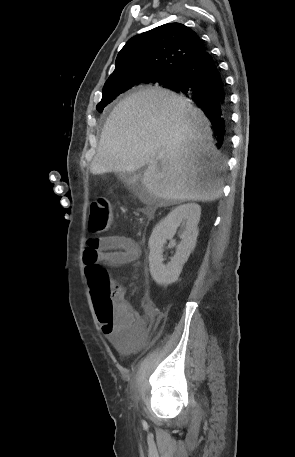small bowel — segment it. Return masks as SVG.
<instances>
[{
	"label": "small bowel",
	"instance_id": "1",
	"mask_svg": "<svg viewBox=\"0 0 295 457\" xmlns=\"http://www.w3.org/2000/svg\"><path fill=\"white\" fill-rule=\"evenodd\" d=\"M139 255L140 248L130 237L121 235L91 237L86 241L84 263L87 265L90 262H101L115 268L135 261ZM117 296L120 299L118 312L110 322L98 319L101 330L108 338H130L144 325V316L124 300V290L120 286H117ZM150 311L151 306L147 305L145 312Z\"/></svg>",
	"mask_w": 295,
	"mask_h": 457
}]
</instances>
